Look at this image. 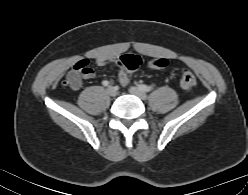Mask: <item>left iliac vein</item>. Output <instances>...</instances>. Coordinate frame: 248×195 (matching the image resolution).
I'll return each mask as SVG.
<instances>
[{
  "label": "left iliac vein",
  "mask_w": 248,
  "mask_h": 195,
  "mask_svg": "<svg viewBox=\"0 0 248 195\" xmlns=\"http://www.w3.org/2000/svg\"><path fill=\"white\" fill-rule=\"evenodd\" d=\"M129 92L142 100H145L147 98L146 93H144L142 90H140L137 87H130Z\"/></svg>",
  "instance_id": "1"
}]
</instances>
